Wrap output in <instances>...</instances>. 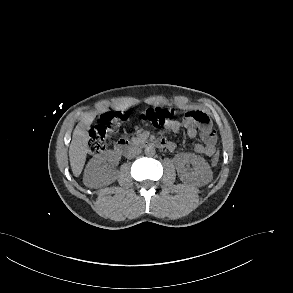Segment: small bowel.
Instances as JSON below:
<instances>
[{
	"mask_svg": "<svg viewBox=\"0 0 293 293\" xmlns=\"http://www.w3.org/2000/svg\"><path fill=\"white\" fill-rule=\"evenodd\" d=\"M200 114L204 119L201 123L190 122L185 120V122L179 120H171L165 125V129L178 133L181 129H185L187 136L191 139L196 138L198 135L201 137L203 144L196 143L193 146V151L197 154H203L206 156H212L215 153V146L217 137L213 131L209 117L202 111H192ZM167 150L174 151L176 145L173 142H167Z\"/></svg>",
	"mask_w": 293,
	"mask_h": 293,
	"instance_id": "c3829d8e",
	"label": "small bowel"
}]
</instances>
